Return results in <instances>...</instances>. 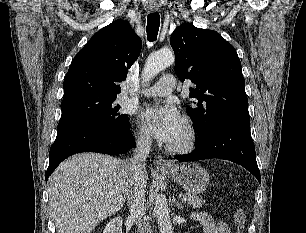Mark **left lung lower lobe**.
I'll list each match as a JSON object with an SVG mask.
<instances>
[{"label": "left lung lower lobe", "instance_id": "1", "mask_svg": "<svg viewBox=\"0 0 306 233\" xmlns=\"http://www.w3.org/2000/svg\"><path fill=\"white\" fill-rule=\"evenodd\" d=\"M220 158L242 165L260 182L250 123H226L212 127L196 138V149L175 156L181 161Z\"/></svg>", "mask_w": 306, "mask_h": 233}]
</instances>
